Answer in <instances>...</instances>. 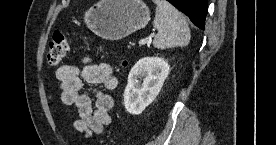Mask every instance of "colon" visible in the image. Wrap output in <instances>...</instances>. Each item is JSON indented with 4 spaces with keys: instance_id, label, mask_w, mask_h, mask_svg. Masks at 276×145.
<instances>
[{
    "instance_id": "1",
    "label": "colon",
    "mask_w": 276,
    "mask_h": 145,
    "mask_svg": "<svg viewBox=\"0 0 276 145\" xmlns=\"http://www.w3.org/2000/svg\"><path fill=\"white\" fill-rule=\"evenodd\" d=\"M72 38L61 32H55L49 43L47 52V63L49 66H57L61 63L70 49ZM123 66L127 65L126 61L122 62Z\"/></svg>"
}]
</instances>
